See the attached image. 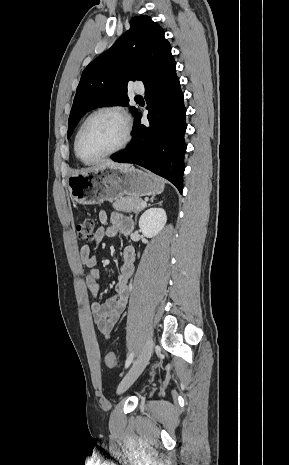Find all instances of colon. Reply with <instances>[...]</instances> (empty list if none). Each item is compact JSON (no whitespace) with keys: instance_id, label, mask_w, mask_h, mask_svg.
Here are the masks:
<instances>
[{"instance_id":"1","label":"colon","mask_w":289,"mask_h":465,"mask_svg":"<svg viewBox=\"0 0 289 465\" xmlns=\"http://www.w3.org/2000/svg\"><path fill=\"white\" fill-rule=\"evenodd\" d=\"M77 236L83 241H93L95 238V224L91 217L80 220L76 227ZM106 364L109 368H116L119 365L118 358L114 353L106 355Z\"/></svg>"}]
</instances>
